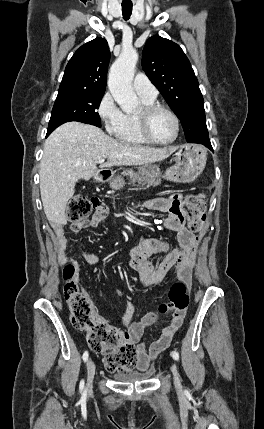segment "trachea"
<instances>
[{
	"label": "trachea",
	"instance_id": "trachea-1",
	"mask_svg": "<svg viewBox=\"0 0 264 429\" xmlns=\"http://www.w3.org/2000/svg\"><path fill=\"white\" fill-rule=\"evenodd\" d=\"M132 14V4H122V15L124 20H128Z\"/></svg>",
	"mask_w": 264,
	"mask_h": 429
}]
</instances>
